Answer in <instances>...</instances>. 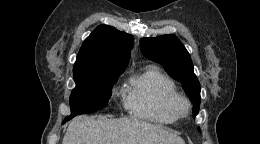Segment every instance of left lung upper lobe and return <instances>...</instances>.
I'll return each instance as SVG.
<instances>
[{
    "label": "left lung upper lobe",
    "instance_id": "5c2ea615",
    "mask_svg": "<svg viewBox=\"0 0 260 144\" xmlns=\"http://www.w3.org/2000/svg\"><path fill=\"white\" fill-rule=\"evenodd\" d=\"M140 48L146 58L163 65L171 77L182 83L185 93L195 103L192 111L197 115L201 101L200 83L194 74L191 57L181 41L175 35L141 38Z\"/></svg>",
    "mask_w": 260,
    "mask_h": 144
}]
</instances>
